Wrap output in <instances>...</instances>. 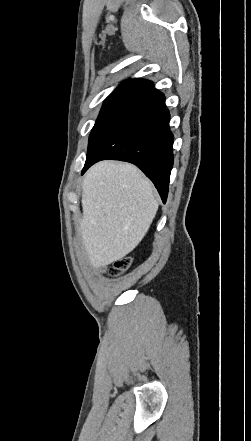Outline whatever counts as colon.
<instances>
[{
  "instance_id": "1",
  "label": "colon",
  "mask_w": 251,
  "mask_h": 441,
  "mask_svg": "<svg viewBox=\"0 0 251 441\" xmlns=\"http://www.w3.org/2000/svg\"><path fill=\"white\" fill-rule=\"evenodd\" d=\"M131 265V259L129 257H124L116 260L110 270L111 275L119 276L124 271H126Z\"/></svg>"
}]
</instances>
